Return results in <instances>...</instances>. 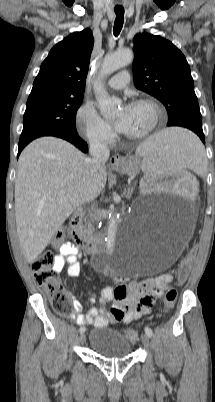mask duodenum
I'll use <instances>...</instances> for the list:
<instances>
[{"mask_svg": "<svg viewBox=\"0 0 215 402\" xmlns=\"http://www.w3.org/2000/svg\"><path fill=\"white\" fill-rule=\"evenodd\" d=\"M81 218L82 211L75 210L71 216L70 234L86 253L94 254L99 248V242L93 238L85 237L79 232V224L81 222Z\"/></svg>", "mask_w": 215, "mask_h": 402, "instance_id": "410a0bca", "label": "duodenum"}]
</instances>
